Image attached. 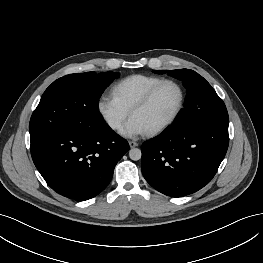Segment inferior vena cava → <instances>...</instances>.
I'll return each mask as SVG.
<instances>
[{
  "mask_svg": "<svg viewBox=\"0 0 263 263\" xmlns=\"http://www.w3.org/2000/svg\"><path fill=\"white\" fill-rule=\"evenodd\" d=\"M111 127H112V128H118V127H119V123H118V122H113V123L111 124Z\"/></svg>",
  "mask_w": 263,
  "mask_h": 263,
  "instance_id": "inferior-vena-cava-1",
  "label": "inferior vena cava"
}]
</instances>
